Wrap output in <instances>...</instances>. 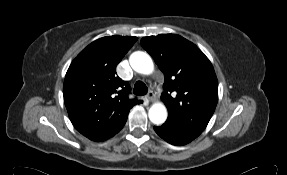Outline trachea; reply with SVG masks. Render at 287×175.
Masks as SVG:
<instances>
[{
  "instance_id": "1",
  "label": "trachea",
  "mask_w": 287,
  "mask_h": 175,
  "mask_svg": "<svg viewBox=\"0 0 287 175\" xmlns=\"http://www.w3.org/2000/svg\"><path fill=\"white\" fill-rule=\"evenodd\" d=\"M148 92L146 84L142 81H137L134 85L133 93L136 95H145Z\"/></svg>"
}]
</instances>
